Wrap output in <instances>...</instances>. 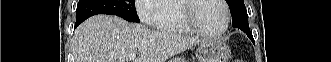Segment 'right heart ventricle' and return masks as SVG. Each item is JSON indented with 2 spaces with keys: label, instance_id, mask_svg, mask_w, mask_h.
<instances>
[{
  "label": "right heart ventricle",
  "instance_id": "obj_1",
  "mask_svg": "<svg viewBox=\"0 0 331 62\" xmlns=\"http://www.w3.org/2000/svg\"><path fill=\"white\" fill-rule=\"evenodd\" d=\"M156 16L159 19L157 29L161 32L183 34L192 33L183 21L180 1H164L163 4L159 6Z\"/></svg>",
  "mask_w": 331,
  "mask_h": 62
}]
</instances>
